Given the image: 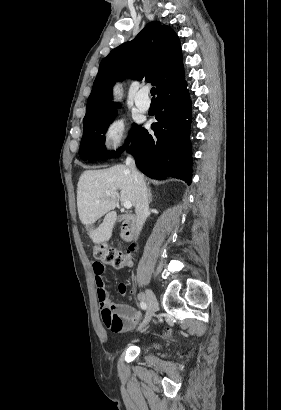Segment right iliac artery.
Here are the masks:
<instances>
[{
	"label": "right iliac artery",
	"instance_id": "right-iliac-artery-1",
	"mask_svg": "<svg viewBox=\"0 0 281 410\" xmlns=\"http://www.w3.org/2000/svg\"><path fill=\"white\" fill-rule=\"evenodd\" d=\"M140 307L145 310L147 308V304L144 301L140 302Z\"/></svg>",
	"mask_w": 281,
	"mask_h": 410
}]
</instances>
